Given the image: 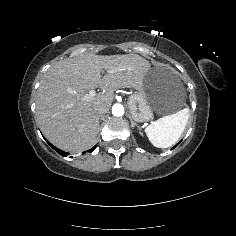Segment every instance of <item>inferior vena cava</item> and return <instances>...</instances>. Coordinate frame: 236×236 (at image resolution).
Returning <instances> with one entry per match:
<instances>
[{
    "label": "inferior vena cava",
    "mask_w": 236,
    "mask_h": 236,
    "mask_svg": "<svg viewBox=\"0 0 236 236\" xmlns=\"http://www.w3.org/2000/svg\"><path fill=\"white\" fill-rule=\"evenodd\" d=\"M94 110H95V114H96V116H97L98 119L100 118V116H101L102 114L105 113L104 109H102L101 107H97V108H95Z\"/></svg>",
    "instance_id": "inferior-vena-cava-1"
}]
</instances>
